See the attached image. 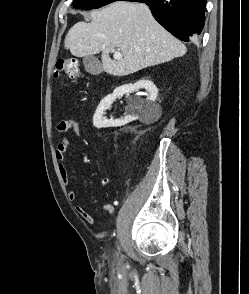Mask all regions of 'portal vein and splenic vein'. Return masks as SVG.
I'll return each mask as SVG.
<instances>
[{
    "mask_svg": "<svg viewBox=\"0 0 249 294\" xmlns=\"http://www.w3.org/2000/svg\"><path fill=\"white\" fill-rule=\"evenodd\" d=\"M114 54H113V58L115 59V60H120V59H122V54H121V52H120V50L118 49V50H113L112 51Z\"/></svg>",
    "mask_w": 249,
    "mask_h": 294,
    "instance_id": "portal-vein-and-splenic-vein-1",
    "label": "portal vein and splenic vein"
}]
</instances>
